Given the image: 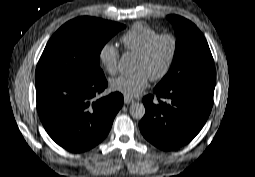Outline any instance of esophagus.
Instances as JSON below:
<instances>
[{
  "label": "esophagus",
  "mask_w": 255,
  "mask_h": 177,
  "mask_svg": "<svg viewBox=\"0 0 255 177\" xmlns=\"http://www.w3.org/2000/svg\"><path fill=\"white\" fill-rule=\"evenodd\" d=\"M134 99L128 98V97H124V103L125 104H130V103H134Z\"/></svg>",
  "instance_id": "esophagus-1"
}]
</instances>
